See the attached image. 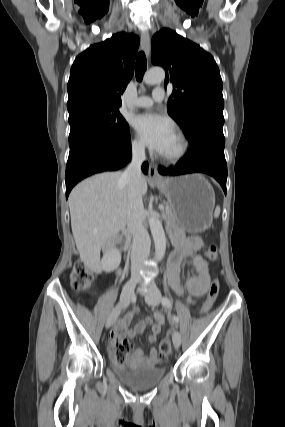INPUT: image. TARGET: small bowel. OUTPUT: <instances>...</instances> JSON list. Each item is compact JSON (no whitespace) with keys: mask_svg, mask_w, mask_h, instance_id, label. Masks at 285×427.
Listing matches in <instances>:
<instances>
[{"mask_svg":"<svg viewBox=\"0 0 285 427\" xmlns=\"http://www.w3.org/2000/svg\"><path fill=\"white\" fill-rule=\"evenodd\" d=\"M175 250L170 255L168 260V279L174 290L180 294H184V290L180 285V270L181 263L184 259L190 258L194 265L196 275H190L186 281V288L192 297L202 296L210 283V263L199 255V251L203 247V240L198 236L184 237L183 234L173 229L171 231ZM188 301H192L189 297ZM139 312L138 307H134L130 312L125 314L114 326L110 342V352L118 345L127 342V339H133L141 334L147 326L151 327L149 341L156 342L157 337L162 331L165 323L164 316L157 312L155 314L156 323L151 317H146L141 320L134 328L130 324L134 316ZM156 349L150 348L148 355H145L141 349H135L131 355L128 354L124 363H118L113 359L116 365L139 366V365H154L156 363Z\"/></svg>","mask_w":285,"mask_h":427,"instance_id":"c3829d8e","label":"small bowel"}]
</instances>
